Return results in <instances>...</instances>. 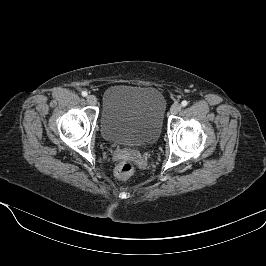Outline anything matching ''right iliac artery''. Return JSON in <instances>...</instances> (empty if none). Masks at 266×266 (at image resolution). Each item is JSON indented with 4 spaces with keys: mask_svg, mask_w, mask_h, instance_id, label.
Masks as SVG:
<instances>
[{
    "mask_svg": "<svg viewBox=\"0 0 266 266\" xmlns=\"http://www.w3.org/2000/svg\"><path fill=\"white\" fill-rule=\"evenodd\" d=\"M87 95H88V93H87L86 91H83V92H82V96H83V97H86Z\"/></svg>",
    "mask_w": 266,
    "mask_h": 266,
    "instance_id": "82829eb1",
    "label": "right iliac artery"
}]
</instances>
